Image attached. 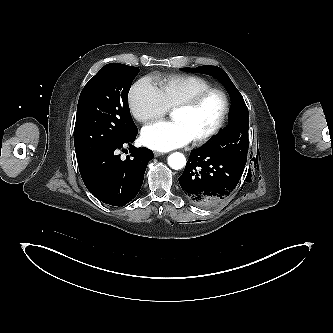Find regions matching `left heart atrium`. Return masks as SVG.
<instances>
[{
	"label": "left heart atrium",
	"instance_id": "39dd6f15",
	"mask_svg": "<svg viewBox=\"0 0 333 333\" xmlns=\"http://www.w3.org/2000/svg\"><path fill=\"white\" fill-rule=\"evenodd\" d=\"M142 143L157 151L180 148L192 141L185 127L176 121L156 122L145 126L141 132Z\"/></svg>",
	"mask_w": 333,
	"mask_h": 333
}]
</instances>
